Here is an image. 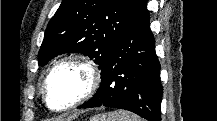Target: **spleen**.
<instances>
[{
    "label": "spleen",
    "instance_id": "1",
    "mask_svg": "<svg viewBox=\"0 0 217 121\" xmlns=\"http://www.w3.org/2000/svg\"><path fill=\"white\" fill-rule=\"evenodd\" d=\"M91 121H140L135 115L130 114L127 111H113L101 115H97L91 119Z\"/></svg>",
    "mask_w": 217,
    "mask_h": 121
}]
</instances>
